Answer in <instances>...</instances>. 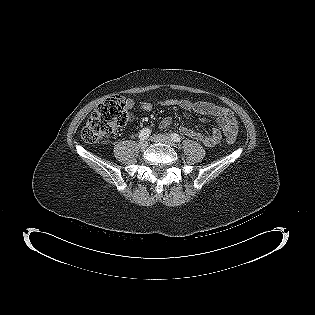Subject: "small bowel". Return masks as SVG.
<instances>
[{
    "label": "small bowel",
    "instance_id": "1",
    "mask_svg": "<svg viewBox=\"0 0 315 315\" xmlns=\"http://www.w3.org/2000/svg\"><path fill=\"white\" fill-rule=\"evenodd\" d=\"M128 109H132L134 106V101L128 99L126 101ZM159 106L162 107H179L186 111H192L198 113L204 117L212 116L216 118L218 127L212 129L209 133H200L193 128L183 126L180 131L183 135L199 140L206 146H214L217 144L222 134L226 137H232L235 139L238 132V122L233 114L227 108L218 106L211 102L206 101H193L190 99H166L158 102ZM140 107L144 112H150L153 109V104L149 101H142ZM206 118H202V122H205ZM172 123L171 117H165L160 122L161 128H166Z\"/></svg>",
    "mask_w": 315,
    "mask_h": 315
}]
</instances>
